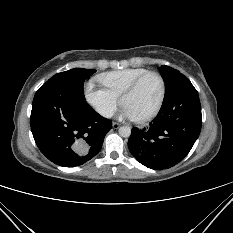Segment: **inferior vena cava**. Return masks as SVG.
Instances as JSON below:
<instances>
[{
    "label": "inferior vena cava",
    "mask_w": 233,
    "mask_h": 233,
    "mask_svg": "<svg viewBox=\"0 0 233 233\" xmlns=\"http://www.w3.org/2000/svg\"><path fill=\"white\" fill-rule=\"evenodd\" d=\"M112 115H113V113H112L111 111H106V112L104 113V116L107 117V118L112 117Z\"/></svg>",
    "instance_id": "obj_1"
}]
</instances>
